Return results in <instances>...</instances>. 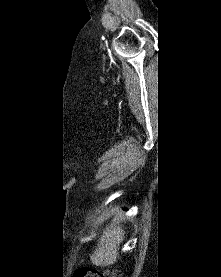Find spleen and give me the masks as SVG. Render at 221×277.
Returning a JSON list of instances; mask_svg holds the SVG:
<instances>
[{"instance_id":"obj_1","label":"spleen","mask_w":221,"mask_h":277,"mask_svg":"<svg viewBox=\"0 0 221 277\" xmlns=\"http://www.w3.org/2000/svg\"><path fill=\"white\" fill-rule=\"evenodd\" d=\"M124 237L123 230L118 227L114 230H107L102 236L98 248L91 260L96 265H108L116 262L117 245H119Z\"/></svg>"}]
</instances>
